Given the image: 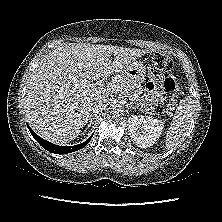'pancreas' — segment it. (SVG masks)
<instances>
[{
    "label": "pancreas",
    "instance_id": "1",
    "mask_svg": "<svg viewBox=\"0 0 222 222\" xmlns=\"http://www.w3.org/2000/svg\"><path fill=\"white\" fill-rule=\"evenodd\" d=\"M112 84L115 86H119L122 89L129 90L130 91L129 97L132 101L138 100L140 94L142 93L140 85H136L129 80H125L124 78H118Z\"/></svg>",
    "mask_w": 222,
    "mask_h": 222
}]
</instances>
